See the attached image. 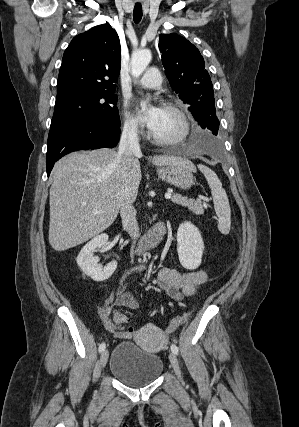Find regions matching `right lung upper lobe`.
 Listing matches in <instances>:
<instances>
[{
  "mask_svg": "<svg viewBox=\"0 0 299 427\" xmlns=\"http://www.w3.org/2000/svg\"><path fill=\"white\" fill-rule=\"evenodd\" d=\"M120 41L107 24L72 39L64 52L56 101L77 94L114 91L120 72Z\"/></svg>",
  "mask_w": 299,
  "mask_h": 427,
  "instance_id": "cb5924a9",
  "label": "right lung upper lobe"
}]
</instances>
